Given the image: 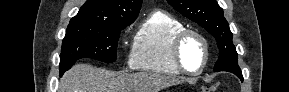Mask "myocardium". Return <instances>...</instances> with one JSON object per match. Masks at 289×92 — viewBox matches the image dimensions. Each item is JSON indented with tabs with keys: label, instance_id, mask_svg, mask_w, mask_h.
<instances>
[{
	"label": "myocardium",
	"instance_id": "1",
	"mask_svg": "<svg viewBox=\"0 0 289 92\" xmlns=\"http://www.w3.org/2000/svg\"><path fill=\"white\" fill-rule=\"evenodd\" d=\"M188 37H196L197 39L200 40V42L202 43L203 46V51H204V57H203V62L202 65L200 66L199 69L195 70V71H191L188 70L183 62H182V58H181V49H182V45L185 42V40ZM172 57L174 60L175 65L177 66V68L188 75H198L200 73L203 72V70L205 69V67L208 64V60H209V44L207 39L205 38V36L203 34H201L200 32L196 31V30H192V29H184L182 31H180L174 38L173 43H172Z\"/></svg>",
	"mask_w": 289,
	"mask_h": 92
}]
</instances>
